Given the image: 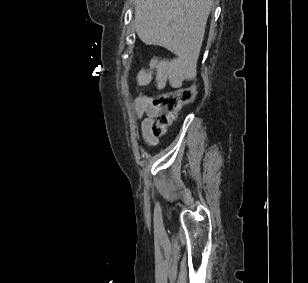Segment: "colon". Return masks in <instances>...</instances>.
<instances>
[{"label":"colon","mask_w":308,"mask_h":283,"mask_svg":"<svg viewBox=\"0 0 308 283\" xmlns=\"http://www.w3.org/2000/svg\"><path fill=\"white\" fill-rule=\"evenodd\" d=\"M195 95L196 87L190 86L151 97V105L158 111L156 123L152 127L153 134L155 136L165 134L179 109L191 102Z\"/></svg>","instance_id":"5ec220e1"}]
</instances>
